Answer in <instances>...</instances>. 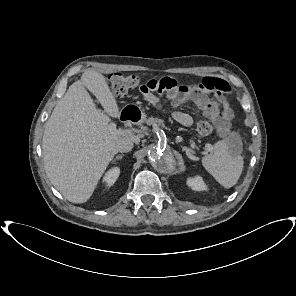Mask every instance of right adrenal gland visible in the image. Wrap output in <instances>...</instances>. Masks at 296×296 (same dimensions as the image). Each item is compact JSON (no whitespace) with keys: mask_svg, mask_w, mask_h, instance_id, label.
<instances>
[{"mask_svg":"<svg viewBox=\"0 0 296 296\" xmlns=\"http://www.w3.org/2000/svg\"><path fill=\"white\" fill-rule=\"evenodd\" d=\"M124 154L117 155L114 159H112V163L116 162L117 160H121Z\"/></svg>","mask_w":296,"mask_h":296,"instance_id":"obj_1","label":"right adrenal gland"}]
</instances>
